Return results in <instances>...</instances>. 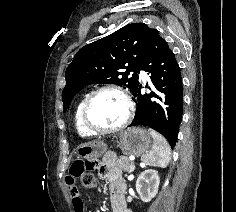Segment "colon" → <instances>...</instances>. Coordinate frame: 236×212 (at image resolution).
Masks as SVG:
<instances>
[{"mask_svg": "<svg viewBox=\"0 0 236 212\" xmlns=\"http://www.w3.org/2000/svg\"><path fill=\"white\" fill-rule=\"evenodd\" d=\"M72 175H78L82 180L81 185L85 188H93L96 185L95 164L92 162L78 161L74 163Z\"/></svg>", "mask_w": 236, "mask_h": 212, "instance_id": "obj_1", "label": "colon"}]
</instances>
